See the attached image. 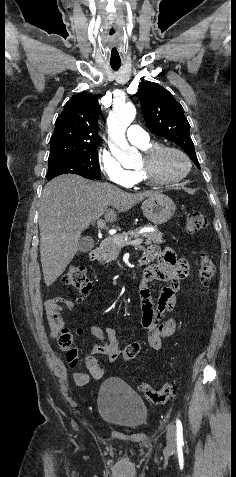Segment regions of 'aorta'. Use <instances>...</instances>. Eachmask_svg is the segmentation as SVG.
<instances>
[{
	"mask_svg": "<svg viewBox=\"0 0 236 477\" xmlns=\"http://www.w3.org/2000/svg\"><path fill=\"white\" fill-rule=\"evenodd\" d=\"M135 116L134 105L126 103L114 106L107 120L109 146L115 157L122 163L132 161L139 156L138 150L130 146L125 137L126 129Z\"/></svg>",
	"mask_w": 236,
	"mask_h": 477,
	"instance_id": "obj_1",
	"label": "aorta"
}]
</instances>
